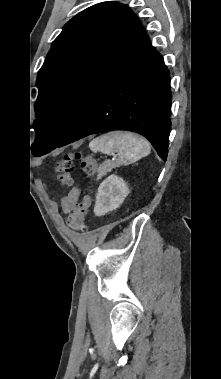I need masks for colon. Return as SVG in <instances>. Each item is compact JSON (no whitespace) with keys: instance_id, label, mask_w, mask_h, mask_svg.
<instances>
[{"instance_id":"obj_1","label":"colon","mask_w":221,"mask_h":379,"mask_svg":"<svg viewBox=\"0 0 221 379\" xmlns=\"http://www.w3.org/2000/svg\"><path fill=\"white\" fill-rule=\"evenodd\" d=\"M75 159L81 160V168L88 176H94L98 172V166L95 159L90 156H82L79 153H68L57 163L56 169L59 174V181L63 186H70L73 182L72 172L74 170L73 162ZM91 203L90 195L84 196L81 202L77 203L75 208L68 213L67 223L76 231H84L86 228L85 219L88 208Z\"/></svg>"}]
</instances>
